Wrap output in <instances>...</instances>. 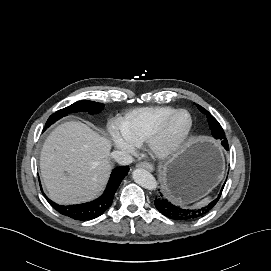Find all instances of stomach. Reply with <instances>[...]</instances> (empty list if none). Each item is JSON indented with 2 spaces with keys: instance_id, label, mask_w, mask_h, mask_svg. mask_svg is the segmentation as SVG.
Segmentation results:
<instances>
[{
  "instance_id": "0dacf381",
  "label": "stomach",
  "mask_w": 271,
  "mask_h": 271,
  "mask_svg": "<svg viewBox=\"0 0 271 271\" xmlns=\"http://www.w3.org/2000/svg\"><path fill=\"white\" fill-rule=\"evenodd\" d=\"M223 155L205 138L192 139L160 171L163 187L175 200H195L207 194L221 179Z\"/></svg>"
}]
</instances>
